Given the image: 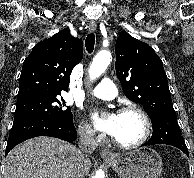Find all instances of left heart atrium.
<instances>
[{
    "instance_id": "39dd6f15",
    "label": "left heart atrium",
    "mask_w": 194,
    "mask_h": 178,
    "mask_svg": "<svg viewBox=\"0 0 194 178\" xmlns=\"http://www.w3.org/2000/svg\"><path fill=\"white\" fill-rule=\"evenodd\" d=\"M91 118L95 127L107 134L114 135L118 125V114L110 113L106 116H101L97 112L91 113Z\"/></svg>"
}]
</instances>
